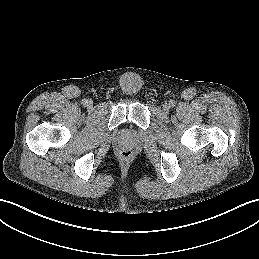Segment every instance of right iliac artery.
Listing matches in <instances>:
<instances>
[{"label": "right iliac artery", "instance_id": "1", "mask_svg": "<svg viewBox=\"0 0 259 259\" xmlns=\"http://www.w3.org/2000/svg\"><path fill=\"white\" fill-rule=\"evenodd\" d=\"M87 103H88V100H86V99H83L82 100V104L85 106V105H87Z\"/></svg>", "mask_w": 259, "mask_h": 259}]
</instances>
